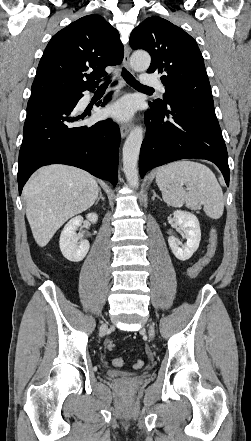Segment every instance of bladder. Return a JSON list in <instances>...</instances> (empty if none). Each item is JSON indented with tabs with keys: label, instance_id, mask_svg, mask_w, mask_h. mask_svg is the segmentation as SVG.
Wrapping results in <instances>:
<instances>
[{
	"label": "bladder",
	"instance_id": "31cf9c89",
	"mask_svg": "<svg viewBox=\"0 0 251 441\" xmlns=\"http://www.w3.org/2000/svg\"><path fill=\"white\" fill-rule=\"evenodd\" d=\"M106 374H107V376L110 377V378L126 377V376L133 375L132 373L127 372V371L114 370V369L108 370V371L106 372Z\"/></svg>",
	"mask_w": 251,
	"mask_h": 441
}]
</instances>
